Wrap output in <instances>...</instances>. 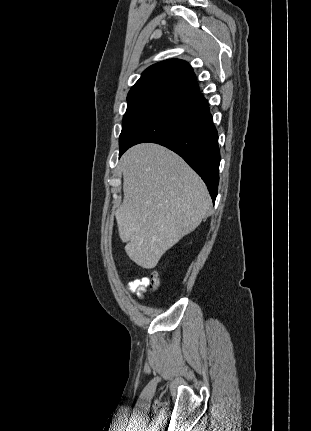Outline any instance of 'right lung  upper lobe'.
Here are the masks:
<instances>
[{
    "label": "right lung upper lobe",
    "mask_w": 311,
    "mask_h": 431,
    "mask_svg": "<svg viewBox=\"0 0 311 431\" xmlns=\"http://www.w3.org/2000/svg\"><path fill=\"white\" fill-rule=\"evenodd\" d=\"M155 89L175 94L179 97L199 91L191 66L179 59H168L148 67L130 92Z\"/></svg>",
    "instance_id": "right-lung-upper-lobe-1"
}]
</instances>
